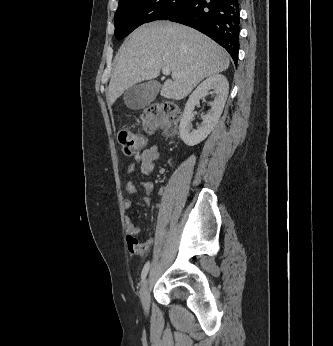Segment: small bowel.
<instances>
[{
	"instance_id": "c3829d8e",
	"label": "small bowel",
	"mask_w": 333,
	"mask_h": 346,
	"mask_svg": "<svg viewBox=\"0 0 333 346\" xmlns=\"http://www.w3.org/2000/svg\"><path fill=\"white\" fill-rule=\"evenodd\" d=\"M160 149L156 145H151L145 148L143 151L135 154L134 162L127 165L126 171L128 174H133L136 171L137 165H140L142 174L148 176L153 173L156 168V164L160 160ZM147 196L144 198L146 204H150V195L154 191V186L151 183L145 184ZM126 192L129 195L124 201L125 208L129 209L133 205L132 196L137 192V188L134 183L128 182L126 184ZM127 241L126 244L131 251V254H152L153 238L150 237L144 241V239H137V235L140 233V227L134 222L132 218L126 220Z\"/></svg>"
}]
</instances>
